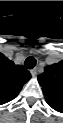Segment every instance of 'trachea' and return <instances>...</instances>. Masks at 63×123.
<instances>
[{
  "label": "trachea",
  "instance_id": "obj_1",
  "mask_svg": "<svg viewBox=\"0 0 63 123\" xmlns=\"http://www.w3.org/2000/svg\"><path fill=\"white\" fill-rule=\"evenodd\" d=\"M24 66L27 69H33L36 66V59L32 56H29L28 58H26Z\"/></svg>",
  "mask_w": 63,
  "mask_h": 123
}]
</instances>
